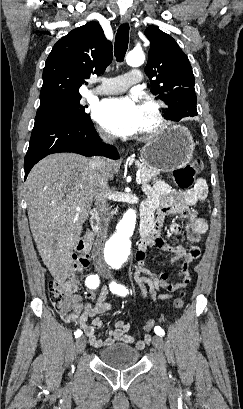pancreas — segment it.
I'll return each mask as SVG.
<instances>
[{
	"instance_id": "obj_1",
	"label": "pancreas",
	"mask_w": 243,
	"mask_h": 409,
	"mask_svg": "<svg viewBox=\"0 0 243 409\" xmlns=\"http://www.w3.org/2000/svg\"><path fill=\"white\" fill-rule=\"evenodd\" d=\"M136 165H137V168L140 171V178H141V181H142L143 185L150 182L153 177H155V176H157L159 174V171L151 169V168L145 166L142 163H136Z\"/></svg>"
}]
</instances>
